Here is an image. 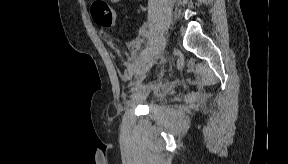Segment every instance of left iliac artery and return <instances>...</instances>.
Masks as SVG:
<instances>
[{"mask_svg":"<svg viewBox=\"0 0 288 164\" xmlns=\"http://www.w3.org/2000/svg\"><path fill=\"white\" fill-rule=\"evenodd\" d=\"M152 50H153V46L149 47L146 51H144V53L139 55L136 62L139 63V62H142L143 60L147 59L150 56Z\"/></svg>","mask_w":288,"mask_h":164,"instance_id":"1","label":"left iliac artery"}]
</instances>
